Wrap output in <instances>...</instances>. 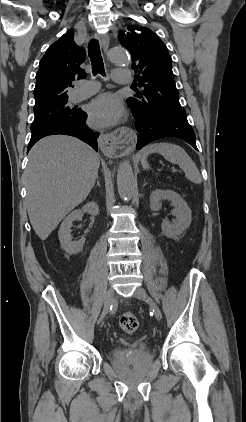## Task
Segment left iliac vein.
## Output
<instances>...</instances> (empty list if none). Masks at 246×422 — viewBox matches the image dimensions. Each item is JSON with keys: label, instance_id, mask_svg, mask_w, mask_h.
I'll return each instance as SVG.
<instances>
[{"label": "left iliac vein", "instance_id": "4c4485c4", "mask_svg": "<svg viewBox=\"0 0 246 422\" xmlns=\"http://www.w3.org/2000/svg\"><path fill=\"white\" fill-rule=\"evenodd\" d=\"M134 296L137 299L146 301L151 308L153 309L154 312V316L155 318L160 321L162 319V313L161 310L159 308V306L153 301V299L147 294V292L145 291V289L138 287L135 292H134Z\"/></svg>", "mask_w": 246, "mask_h": 422}]
</instances>
